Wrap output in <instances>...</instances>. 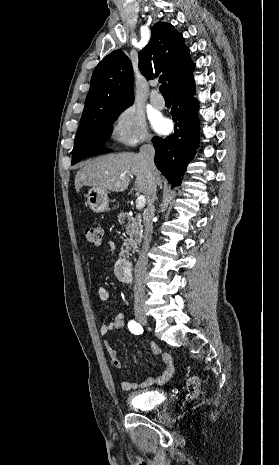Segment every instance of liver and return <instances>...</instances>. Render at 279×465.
I'll list each match as a JSON object with an SVG mask.
<instances>
[{
    "mask_svg": "<svg viewBox=\"0 0 279 465\" xmlns=\"http://www.w3.org/2000/svg\"><path fill=\"white\" fill-rule=\"evenodd\" d=\"M135 175V191L145 195L149 193V181L143 159L135 153H116L97 157L88 161L75 176V189L79 192L83 186L104 191L123 192ZM157 184H161V175L157 171Z\"/></svg>",
    "mask_w": 279,
    "mask_h": 465,
    "instance_id": "obj_1",
    "label": "liver"
}]
</instances>
